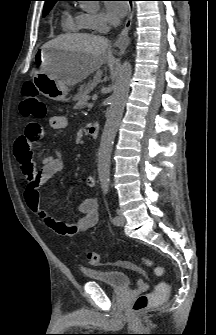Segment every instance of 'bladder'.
<instances>
[{
  "label": "bladder",
  "instance_id": "31cf9c89",
  "mask_svg": "<svg viewBox=\"0 0 216 335\" xmlns=\"http://www.w3.org/2000/svg\"><path fill=\"white\" fill-rule=\"evenodd\" d=\"M82 274L89 280L102 283L115 291L130 289V273L117 269L91 270L82 269Z\"/></svg>",
  "mask_w": 216,
  "mask_h": 335
}]
</instances>
